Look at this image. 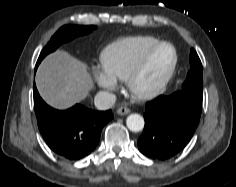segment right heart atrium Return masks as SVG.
<instances>
[{"label": "right heart atrium", "instance_id": "d8ad5b80", "mask_svg": "<svg viewBox=\"0 0 236 187\" xmlns=\"http://www.w3.org/2000/svg\"><path fill=\"white\" fill-rule=\"evenodd\" d=\"M92 75L95 82L104 90L113 92L118 88V82L116 78L106 72L103 68L94 67L92 69Z\"/></svg>", "mask_w": 236, "mask_h": 187}]
</instances>
